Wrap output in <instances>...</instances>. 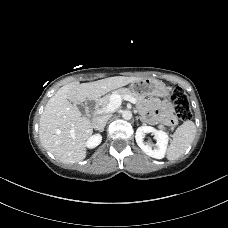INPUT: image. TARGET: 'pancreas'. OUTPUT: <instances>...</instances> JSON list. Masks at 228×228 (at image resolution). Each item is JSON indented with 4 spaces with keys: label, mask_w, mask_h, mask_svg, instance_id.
<instances>
[{
    "label": "pancreas",
    "mask_w": 228,
    "mask_h": 228,
    "mask_svg": "<svg viewBox=\"0 0 228 228\" xmlns=\"http://www.w3.org/2000/svg\"><path fill=\"white\" fill-rule=\"evenodd\" d=\"M112 95H120L121 97L125 95H130L136 99L137 103H141L144 99L143 96H141L139 93L135 91H132L128 88H120L118 90L113 91L111 94H108L103 98L99 99L98 101L99 105H101L102 107H106L109 104ZM158 128L165 129L163 125H159Z\"/></svg>",
    "instance_id": "cf45deb5"
}]
</instances>
